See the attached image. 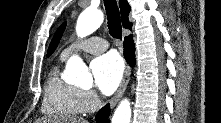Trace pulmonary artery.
Instances as JSON below:
<instances>
[{
	"label": "pulmonary artery",
	"instance_id": "pulmonary-artery-1",
	"mask_svg": "<svg viewBox=\"0 0 221 123\" xmlns=\"http://www.w3.org/2000/svg\"><path fill=\"white\" fill-rule=\"evenodd\" d=\"M108 48V43L105 39L100 37H90L88 39L73 42L64 48L61 52V58L65 59L74 51H85L93 54H98Z\"/></svg>",
	"mask_w": 221,
	"mask_h": 123
}]
</instances>
